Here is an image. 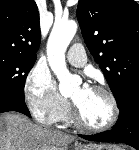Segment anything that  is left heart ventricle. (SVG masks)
<instances>
[{
  "mask_svg": "<svg viewBox=\"0 0 139 150\" xmlns=\"http://www.w3.org/2000/svg\"><path fill=\"white\" fill-rule=\"evenodd\" d=\"M83 120L92 126L105 124L111 116V107L107 96L91 88L77 87L71 94Z\"/></svg>",
  "mask_w": 139,
  "mask_h": 150,
  "instance_id": "obj_1",
  "label": "left heart ventricle"
}]
</instances>
